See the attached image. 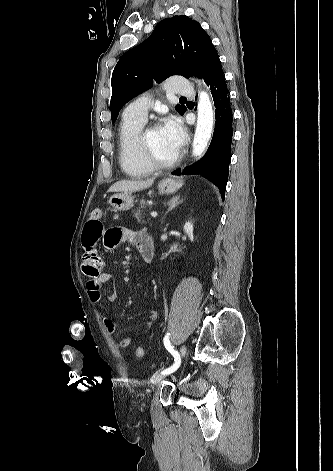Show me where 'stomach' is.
Masks as SVG:
<instances>
[{"mask_svg":"<svg viewBox=\"0 0 333 471\" xmlns=\"http://www.w3.org/2000/svg\"><path fill=\"white\" fill-rule=\"evenodd\" d=\"M183 185L182 181H176L171 178H165L158 183V190L161 194H173ZM109 204L119 211H126L134 205V197L128 193L114 194L109 199Z\"/></svg>","mask_w":333,"mask_h":471,"instance_id":"stomach-1","label":"stomach"}]
</instances>
